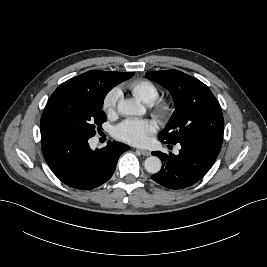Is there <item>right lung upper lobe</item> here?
<instances>
[{
    "label": "right lung upper lobe",
    "instance_id": "right-lung-upper-lobe-1",
    "mask_svg": "<svg viewBox=\"0 0 267 267\" xmlns=\"http://www.w3.org/2000/svg\"><path fill=\"white\" fill-rule=\"evenodd\" d=\"M127 74L123 72H107V71H88L77 77L71 78L59 87H66L69 89H85L96 85H112L119 77Z\"/></svg>",
    "mask_w": 267,
    "mask_h": 267
}]
</instances>
